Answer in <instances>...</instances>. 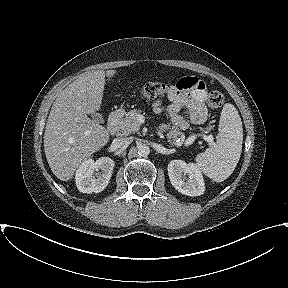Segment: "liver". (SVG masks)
Masks as SVG:
<instances>
[{"label": "liver", "mask_w": 288, "mask_h": 288, "mask_svg": "<svg viewBox=\"0 0 288 288\" xmlns=\"http://www.w3.org/2000/svg\"><path fill=\"white\" fill-rule=\"evenodd\" d=\"M116 70L86 72L54 101L44 133V150L53 174L70 180L79 166L109 141L108 130L90 119L101 108L105 76Z\"/></svg>", "instance_id": "6515ba94"}]
</instances>
